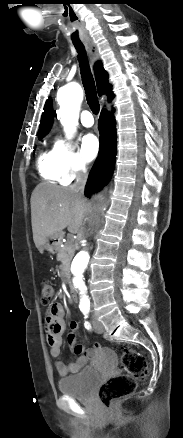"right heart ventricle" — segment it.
Listing matches in <instances>:
<instances>
[{
  "instance_id": "e07e8e85",
  "label": "right heart ventricle",
  "mask_w": 183,
  "mask_h": 438,
  "mask_svg": "<svg viewBox=\"0 0 183 438\" xmlns=\"http://www.w3.org/2000/svg\"><path fill=\"white\" fill-rule=\"evenodd\" d=\"M38 168H39V172L44 178L50 181L60 180L56 170L55 150L44 151L41 153L38 160Z\"/></svg>"
}]
</instances>
